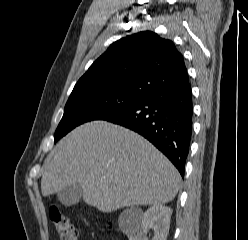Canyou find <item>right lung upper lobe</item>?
<instances>
[{"mask_svg":"<svg viewBox=\"0 0 248 240\" xmlns=\"http://www.w3.org/2000/svg\"><path fill=\"white\" fill-rule=\"evenodd\" d=\"M186 78L183 56L174 43L154 32L143 31L111 44L73 90L112 88L144 97Z\"/></svg>","mask_w":248,"mask_h":240,"instance_id":"cb5924a9","label":"right lung upper lobe"}]
</instances>
